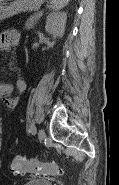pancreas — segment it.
Wrapping results in <instances>:
<instances>
[{"instance_id":"1","label":"pancreas","mask_w":119,"mask_h":185,"mask_svg":"<svg viewBox=\"0 0 119 185\" xmlns=\"http://www.w3.org/2000/svg\"><path fill=\"white\" fill-rule=\"evenodd\" d=\"M40 18V15L38 13H35L29 17V19L26 22L25 28L31 29L36 25L38 19Z\"/></svg>"}]
</instances>
